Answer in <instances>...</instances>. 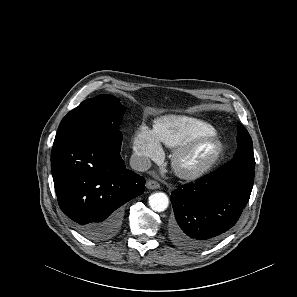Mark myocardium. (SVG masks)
<instances>
[{"instance_id":"obj_1","label":"myocardium","mask_w":297,"mask_h":297,"mask_svg":"<svg viewBox=\"0 0 297 297\" xmlns=\"http://www.w3.org/2000/svg\"><path fill=\"white\" fill-rule=\"evenodd\" d=\"M203 142H210L213 145L212 152L208 158L198 165H186V158ZM222 152L223 143L214 132L201 134L175 149L171 158L172 167L179 177L187 180L196 179L215 166L220 159Z\"/></svg>"}]
</instances>
